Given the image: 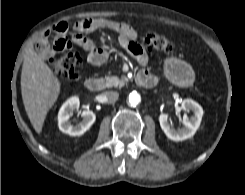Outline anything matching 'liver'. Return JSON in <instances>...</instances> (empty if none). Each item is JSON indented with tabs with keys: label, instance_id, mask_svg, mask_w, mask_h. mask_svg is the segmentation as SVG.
<instances>
[{
	"label": "liver",
	"instance_id": "6515ba94",
	"mask_svg": "<svg viewBox=\"0 0 245 195\" xmlns=\"http://www.w3.org/2000/svg\"><path fill=\"white\" fill-rule=\"evenodd\" d=\"M61 83L45 63L44 55L31 47L27 50L21 72V94L25 111L39 134L50 108L56 102Z\"/></svg>",
	"mask_w": 245,
	"mask_h": 195
}]
</instances>
